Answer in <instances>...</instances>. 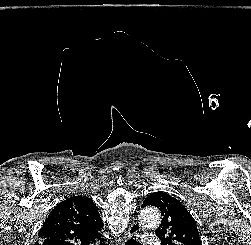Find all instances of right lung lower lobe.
<instances>
[{"label": "right lung lower lobe", "mask_w": 251, "mask_h": 245, "mask_svg": "<svg viewBox=\"0 0 251 245\" xmlns=\"http://www.w3.org/2000/svg\"><path fill=\"white\" fill-rule=\"evenodd\" d=\"M98 240H100L101 244L103 245L104 242L103 238L100 237Z\"/></svg>", "instance_id": "1"}]
</instances>
